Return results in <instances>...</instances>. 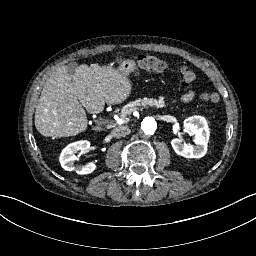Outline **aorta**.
Instances as JSON below:
<instances>
[{
	"mask_svg": "<svg viewBox=\"0 0 256 256\" xmlns=\"http://www.w3.org/2000/svg\"><path fill=\"white\" fill-rule=\"evenodd\" d=\"M141 128L146 134H153L157 130V120L153 116H146L141 121Z\"/></svg>",
	"mask_w": 256,
	"mask_h": 256,
	"instance_id": "762f6f07",
	"label": "aorta"
}]
</instances>
